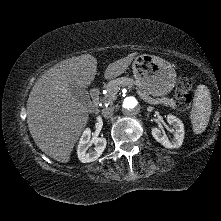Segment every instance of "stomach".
I'll use <instances>...</instances> for the list:
<instances>
[{
    "label": "stomach",
    "instance_id": "1",
    "mask_svg": "<svg viewBox=\"0 0 221 221\" xmlns=\"http://www.w3.org/2000/svg\"><path fill=\"white\" fill-rule=\"evenodd\" d=\"M136 83L152 96H164L171 92L176 72L168 61L154 55L142 54L132 64Z\"/></svg>",
    "mask_w": 221,
    "mask_h": 221
}]
</instances>
